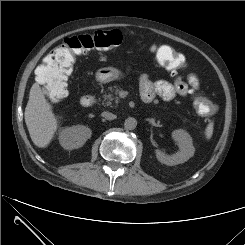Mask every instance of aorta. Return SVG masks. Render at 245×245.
Returning a JSON list of instances; mask_svg holds the SVG:
<instances>
[{
	"label": "aorta",
	"instance_id": "1",
	"mask_svg": "<svg viewBox=\"0 0 245 245\" xmlns=\"http://www.w3.org/2000/svg\"><path fill=\"white\" fill-rule=\"evenodd\" d=\"M124 126L127 130H133L137 126V120L133 117H128L124 122Z\"/></svg>",
	"mask_w": 245,
	"mask_h": 245
}]
</instances>
